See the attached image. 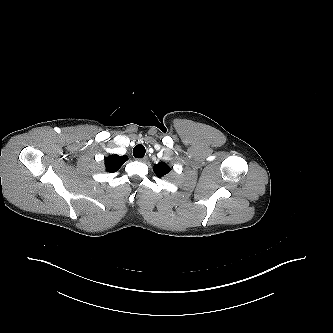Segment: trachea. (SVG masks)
Listing matches in <instances>:
<instances>
[{"label": "trachea", "mask_w": 333, "mask_h": 333, "mask_svg": "<svg viewBox=\"0 0 333 333\" xmlns=\"http://www.w3.org/2000/svg\"><path fill=\"white\" fill-rule=\"evenodd\" d=\"M145 153H146V149L141 144L136 145L134 147V149H133V155L136 158H142V157H144Z\"/></svg>", "instance_id": "trachea-1"}]
</instances>
